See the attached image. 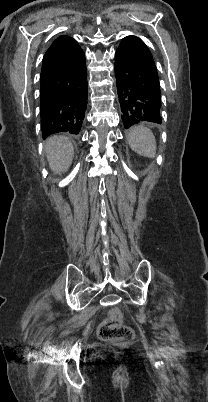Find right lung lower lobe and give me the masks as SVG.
<instances>
[{
  "label": "right lung lower lobe",
  "mask_w": 208,
  "mask_h": 402,
  "mask_svg": "<svg viewBox=\"0 0 208 402\" xmlns=\"http://www.w3.org/2000/svg\"><path fill=\"white\" fill-rule=\"evenodd\" d=\"M40 116L43 138L80 132L88 98L85 54L69 36H61L43 58Z\"/></svg>",
  "instance_id": "1"
}]
</instances>
